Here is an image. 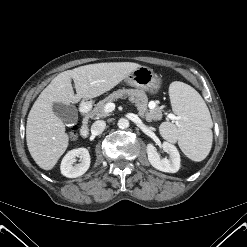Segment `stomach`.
Here are the masks:
<instances>
[{
    "instance_id": "1",
    "label": "stomach",
    "mask_w": 247,
    "mask_h": 247,
    "mask_svg": "<svg viewBox=\"0 0 247 247\" xmlns=\"http://www.w3.org/2000/svg\"><path fill=\"white\" fill-rule=\"evenodd\" d=\"M125 81L130 86L151 93H157L162 84V79L146 66H140Z\"/></svg>"
}]
</instances>
